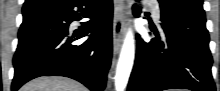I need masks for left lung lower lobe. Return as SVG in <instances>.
<instances>
[{"instance_id": "left-lung-lower-lobe-1", "label": "left lung lower lobe", "mask_w": 220, "mask_h": 91, "mask_svg": "<svg viewBox=\"0 0 220 91\" xmlns=\"http://www.w3.org/2000/svg\"><path fill=\"white\" fill-rule=\"evenodd\" d=\"M165 40L145 42L137 36V51L128 91L190 89L215 91L211 75L212 56L205 16L160 4ZM141 10L135 8V16Z\"/></svg>"}]
</instances>
